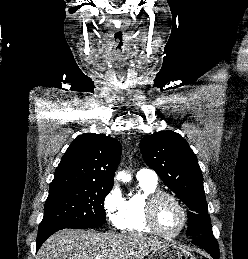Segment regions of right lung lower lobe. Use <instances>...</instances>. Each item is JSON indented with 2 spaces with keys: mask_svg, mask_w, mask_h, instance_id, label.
Wrapping results in <instances>:
<instances>
[{
  "mask_svg": "<svg viewBox=\"0 0 248 259\" xmlns=\"http://www.w3.org/2000/svg\"><path fill=\"white\" fill-rule=\"evenodd\" d=\"M62 230V229H53V230H46V231H42V232H38V236H37V241H36V250H38L41 245L43 244V242L49 237L51 236L53 233Z\"/></svg>",
  "mask_w": 248,
  "mask_h": 259,
  "instance_id": "1",
  "label": "right lung lower lobe"
}]
</instances>
